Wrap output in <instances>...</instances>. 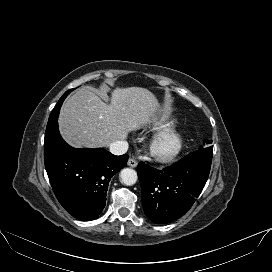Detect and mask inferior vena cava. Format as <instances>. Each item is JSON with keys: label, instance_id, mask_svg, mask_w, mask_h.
Here are the masks:
<instances>
[{"label": "inferior vena cava", "instance_id": "inferior-vena-cava-1", "mask_svg": "<svg viewBox=\"0 0 272 272\" xmlns=\"http://www.w3.org/2000/svg\"><path fill=\"white\" fill-rule=\"evenodd\" d=\"M110 152L115 155L125 154L128 150V142L124 140H117L109 145Z\"/></svg>", "mask_w": 272, "mask_h": 272}]
</instances>
